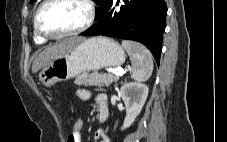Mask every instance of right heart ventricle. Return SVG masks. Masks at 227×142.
I'll return each mask as SVG.
<instances>
[{
    "label": "right heart ventricle",
    "mask_w": 227,
    "mask_h": 142,
    "mask_svg": "<svg viewBox=\"0 0 227 142\" xmlns=\"http://www.w3.org/2000/svg\"><path fill=\"white\" fill-rule=\"evenodd\" d=\"M34 36H35V40H36L37 42H39V43H42V42L45 41V38L39 36V35L36 33L35 27H34Z\"/></svg>",
    "instance_id": "e07e8e85"
}]
</instances>
